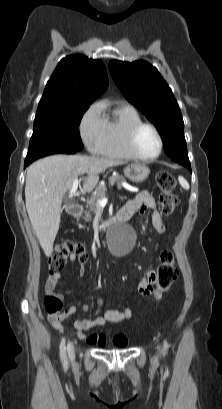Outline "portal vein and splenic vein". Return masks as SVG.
Segmentation results:
<instances>
[{
  "instance_id": "1",
  "label": "portal vein and splenic vein",
  "mask_w": 222,
  "mask_h": 409,
  "mask_svg": "<svg viewBox=\"0 0 222 409\" xmlns=\"http://www.w3.org/2000/svg\"><path fill=\"white\" fill-rule=\"evenodd\" d=\"M78 184H79V180H78V179H75V180L73 181L72 187H71L70 192H69L70 195L74 194V193L77 191ZM106 202H107V199H99V200L97 201V204H98L99 206H104V205L106 204Z\"/></svg>"
}]
</instances>
